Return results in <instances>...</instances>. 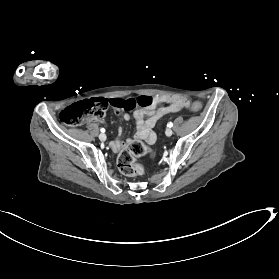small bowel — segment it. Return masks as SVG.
Segmentation results:
<instances>
[{
    "mask_svg": "<svg viewBox=\"0 0 279 279\" xmlns=\"http://www.w3.org/2000/svg\"><path fill=\"white\" fill-rule=\"evenodd\" d=\"M155 105L150 108H139L134 111L133 116L136 119V133L135 138L144 140L148 144H153L156 141V134L153 131L154 126L164 116L186 109L189 106V101L186 98H177L169 96H156ZM160 104L165 106L156 107ZM147 117V118H146ZM123 119L129 120L130 114L124 113ZM122 128L118 129V137L110 143L111 148L118 152L124 149L131 140L123 141L121 139Z\"/></svg>",
    "mask_w": 279,
    "mask_h": 279,
    "instance_id": "1",
    "label": "small bowel"
}]
</instances>
